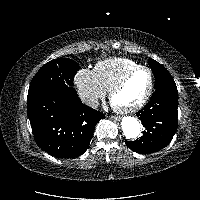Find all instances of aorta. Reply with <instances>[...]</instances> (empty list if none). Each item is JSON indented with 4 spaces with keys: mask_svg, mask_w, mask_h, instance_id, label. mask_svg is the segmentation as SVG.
I'll list each match as a JSON object with an SVG mask.
<instances>
[{
    "mask_svg": "<svg viewBox=\"0 0 200 200\" xmlns=\"http://www.w3.org/2000/svg\"><path fill=\"white\" fill-rule=\"evenodd\" d=\"M121 129L126 138L134 139L140 134V123L135 117L126 116L121 121Z\"/></svg>",
    "mask_w": 200,
    "mask_h": 200,
    "instance_id": "aorta-1",
    "label": "aorta"
}]
</instances>
